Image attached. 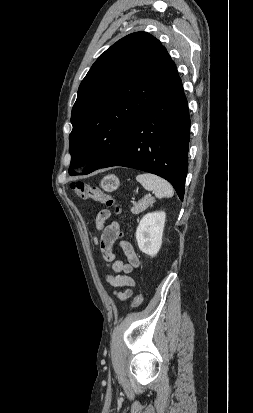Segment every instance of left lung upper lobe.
I'll list each match as a JSON object with an SVG mask.
<instances>
[{
    "label": "left lung upper lobe",
    "mask_w": 253,
    "mask_h": 413,
    "mask_svg": "<svg viewBox=\"0 0 253 413\" xmlns=\"http://www.w3.org/2000/svg\"><path fill=\"white\" fill-rule=\"evenodd\" d=\"M176 65L159 40L146 32L125 36L107 49L82 80L72 108L70 175L102 166L121 146L167 86Z\"/></svg>",
    "instance_id": "left-lung-upper-lobe-1"
}]
</instances>
